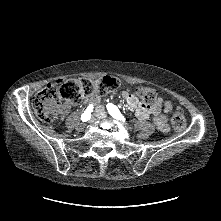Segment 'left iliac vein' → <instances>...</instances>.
Segmentation results:
<instances>
[{"instance_id": "obj_1", "label": "left iliac vein", "mask_w": 221, "mask_h": 221, "mask_svg": "<svg viewBox=\"0 0 221 221\" xmlns=\"http://www.w3.org/2000/svg\"><path fill=\"white\" fill-rule=\"evenodd\" d=\"M101 116H102V117L105 116L104 112L101 113Z\"/></svg>"}]
</instances>
